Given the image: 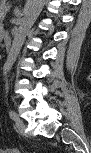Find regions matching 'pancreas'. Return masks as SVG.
I'll use <instances>...</instances> for the list:
<instances>
[{
	"label": "pancreas",
	"instance_id": "1",
	"mask_svg": "<svg viewBox=\"0 0 91 153\" xmlns=\"http://www.w3.org/2000/svg\"><path fill=\"white\" fill-rule=\"evenodd\" d=\"M9 10V6L8 5H4L1 8V18H4L5 13Z\"/></svg>",
	"mask_w": 91,
	"mask_h": 153
}]
</instances>
